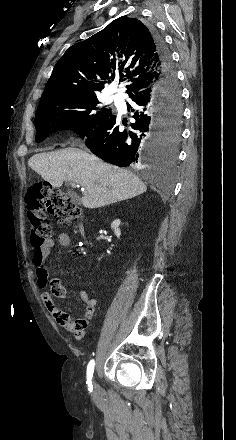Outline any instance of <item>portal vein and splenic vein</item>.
Here are the masks:
<instances>
[{"label":"portal vein and splenic vein","mask_w":236,"mask_h":440,"mask_svg":"<svg viewBox=\"0 0 236 440\" xmlns=\"http://www.w3.org/2000/svg\"><path fill=\"white\" fill-rule=\"evenodd\" d=\"M72 185H73V186H77V187L79 186L78 184H75V183H72Z\"/></svg>","instance_id":"obj_1"}]
</instances>
